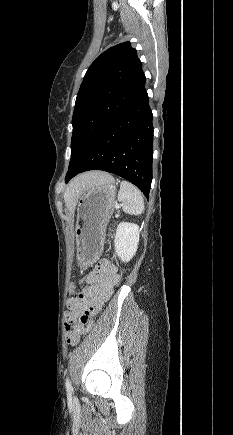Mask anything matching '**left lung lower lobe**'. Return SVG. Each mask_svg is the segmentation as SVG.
Masks as SVG:
<instances>
[{
    "label": "left lung lower lobe",
    "mask_w": 233,
    "mask_h": 435,
    "mask_svg": "<svg viewBox=\"0 0 233 435\" xmlns=\"http://www.w3.org/2000/svg\"><path fill=\"white\" fill-rule=\"evenodd\" d=\"M152 111L146 90L101 134L86 155L69 168L65 181L88 170L125 178L149 196L152 181Z\"/></svg>",
    "instance_id": "0a47b994"
}]
</instances>
